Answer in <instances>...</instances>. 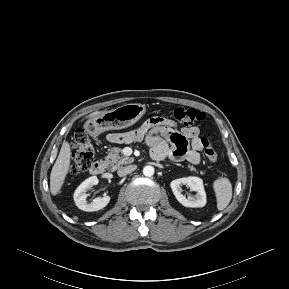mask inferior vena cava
I'll list each match as a JSON object with an SVG mask.
<instances>
[{
    "label": "inferior vena cava",
    "mask_w": 289,
    "mask_h": 289,
    "mask_svg": "<svg viewBox=\"0 0 289 289\" xmlns=\"http://www.w3.org/2000/svg\"><path fill=\"white\" fill-rule=\"evenodd\" d=\"M136 168H137L136 165L121 167L118 169L117 174H118V176L123 177L129 173H132Z\"/></svg>",
    "instance_id": "inferior-vena-cava-1"
}]
</instances>
